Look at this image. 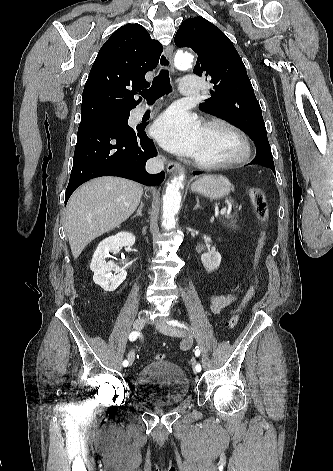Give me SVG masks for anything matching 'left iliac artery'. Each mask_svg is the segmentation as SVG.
I'll return each mask as SVG.
<instances>
[{
  "label": "left iliac artery",
  "instance_id": "44dca946",
  "mask_svg": "<svg viewBox=\"0 0 333 471\" xmlns=\"http://www.w3.org/2000/svg\"><path fill=\"white\" fill-rule=\"evenodd\" d=\"M168 324H170V325H172V326H177V327H180V328L188 329L187 326H186L184 323H181V322H179V321H177V320L169 321ZM195 355H196V357H199V356H200V349H199V347H196ZM195 370H196L197 372H200V371H201V365H200L199 363L196 364Z\"/></svg>",
  "mask_w": 333,
  "mask_h": 471
}]
</instances>
